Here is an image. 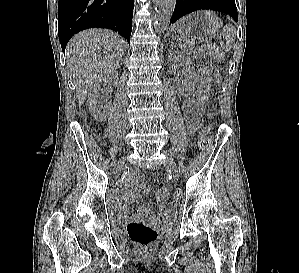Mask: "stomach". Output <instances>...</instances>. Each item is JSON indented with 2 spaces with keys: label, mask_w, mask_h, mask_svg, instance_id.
I'll use <instances>...</instances> for the list:
<instances>
[{
  "label": "stomach",
  "mask_w": 299,
  "mask_h": 273,
  "mask_svg": "<svg viewBox=\"0 0 299 273\" xmlns=\"http://www.w3.org/2000/svg\"><path fill=\"white\" fill-rule=\"evenodd\" d=\"M177 31L183 37L203 38L214 34L216 30L209 24L201 12L194 13L180 20Z\"/></svg>",
  "instance_id": "0dacf381"
}]
</instances>
